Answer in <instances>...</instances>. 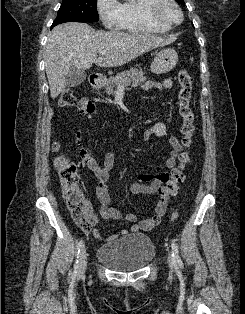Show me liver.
<instances>
[{"label": "liver", "mask_w": 245, "mask_h": 314, "mask_svg": "<svg viewBox=\"0 0 245 314\" xmlns=\"http://www.w3.org/2000/svg\"><path fill=\"white\" fill-rule=\"evenodd\" d=\"M174 40L139 32L95 31L86 23L60 24L49 33L44 49L51 98L55 99L65 89L66 75L72 67L86 70L93 63L99 67L121 66ZM102 50L107 53L97 57Z\"/></svg>", "instance_id": "liver-1"}]
</instances>
